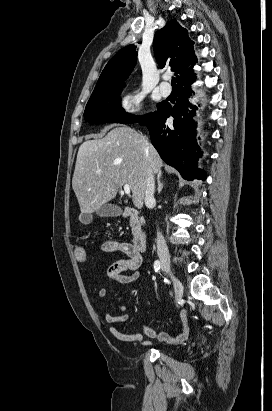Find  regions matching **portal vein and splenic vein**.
Instances as JSON below:
<instances>
[{"label": "portal vein and splenic vein", "instance_id": "1", "mask_svg": "<svg viewBox=\"0 0 272 411\" xmlns=\"http://www.w3.org/2000/svg\"><path fill=\"white\" fill-rule=\"evenodd\" d=\"M123 190L126 194H130V186L128 184L123 185Z\"/></svg>", "mask_w": 272, "mask_h": 411}]
</instances>
